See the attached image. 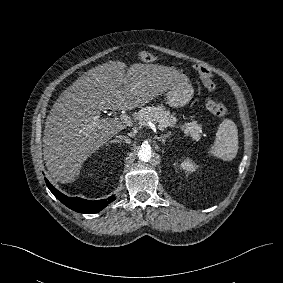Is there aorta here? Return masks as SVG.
<instances>
[{
	"label": "aorta",
	"mask_w": 283,
	"mask_h": 283,
	"mask_svg": "<svg viewBox=\"0 0 283 283\" xmlns=\"http://www.w3.org/2000/svg\"><path fill=\"white\" fill-rule=\"evenodd\" d=\"M152 157V150L148 146L140 148L138 152V158L141 161L148 162Z\"/></svg>",
	"instance_id": "obj_1"
}]
</instances>
